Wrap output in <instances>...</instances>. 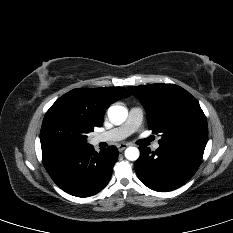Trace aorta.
<instances>
[{
	"label": "aorta",
	"instance_id": "762f6f07",
	"mask_svg": "<svg viewBox=\"0 0 233 233\" xmlns=\"http://www.w3.org/2000/svg\"><path fill=\"white\" fill-rule=\"evenodd\" d=\"M128 116V111L120 105H113L108 109V117L114 124H122ZM125 157L130 161H135L139 158V150L136 147H128L125 150Z\"/></svg>",
	"mask_w": 233,
	"mask_h": 233
}]
</instances>
